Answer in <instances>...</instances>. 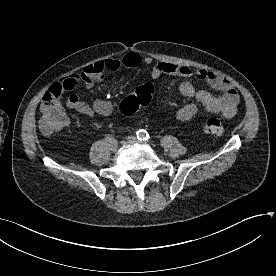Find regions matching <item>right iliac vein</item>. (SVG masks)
<instances>
[{
    "instance_id": "1",
    "label": "right iliac vein",
    "mask_w": 276,
    "mask_h": 276,
    "mask_svg": "<svg viewBox=\"0 0 276 276\" xmlns=\"http://www.w3.org/2000/svg\"><path fill=\"white\" fill-rule=\"evenodd\" d=\"M108 148L110 151L115 152L118 148V143L117 142H113L108 144Z\"/></svg>"
}]
</instances>
